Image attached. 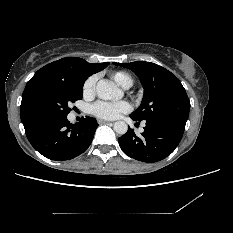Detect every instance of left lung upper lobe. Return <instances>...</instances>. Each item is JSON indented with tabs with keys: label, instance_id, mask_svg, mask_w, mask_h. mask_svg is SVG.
Returning a JSON list of instances; mask_svg holds the SVG:
<instances>
[{
	"label": "left lung upper lobe",
	"instance_id": "obj_1",
	"mask_svg": "<svg viewBox=\"0 0 233 233\" xmlns=\"http://www.w3.org/2000/svg\"><path fill=\"white\" fill-rule=\"evenodd\" d=\"M132 70L141 80L144 97L130 117L137 121L159 120L186 124L190 101L179 79L167 69L150 62L113 63Z\"/></svg>",
	"mask_w": 233,
	"mask_h": 233
}]
</instances>
